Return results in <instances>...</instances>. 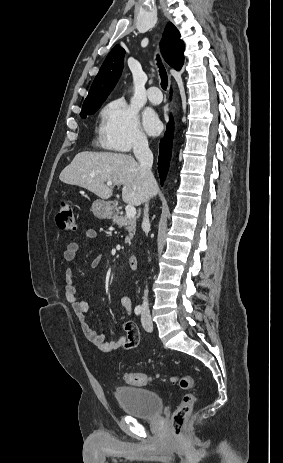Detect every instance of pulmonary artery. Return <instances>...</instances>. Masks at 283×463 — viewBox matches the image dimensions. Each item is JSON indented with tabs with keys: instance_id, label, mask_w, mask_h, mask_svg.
<instances>
[{
	"instance_id": "obj_1",
	"label": "pulmonary artery",
	"mask_w": 283,
	"mask_h": 463,
	"mask_svg": "<svg viewBox=\"0 0 283 463\" xmlns=\"http://www.w3.org/2000/svg\"><path fill=\"white\" fill-rule=\"evenodd\" d=\"M147 97L152 104H159L162 101L160 90L156 86H152L147 90Z\"/></svg>"
}]
</instances>
